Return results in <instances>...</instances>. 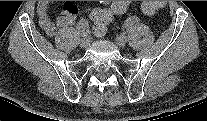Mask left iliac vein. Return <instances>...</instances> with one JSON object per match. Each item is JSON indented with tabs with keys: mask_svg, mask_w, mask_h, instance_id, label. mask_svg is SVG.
<instances>
[{
	"mask_svg": "<svg viewBox=\"0 0 207 121\" xmlns=\"http://www.w3.org/2000/svg\"><path fill=\"white\" fill-rule=\"evenodd\" d=\"M116 43L120 46V47H124L127 44V38L124 35H118L116 37Z\"/></svg>",
	"mask_w": 207,
	"mask_h": 121,
	"instance_id": "left-iliac-vein-1",
	"label": "left iliac vein"
}]
</instances>
